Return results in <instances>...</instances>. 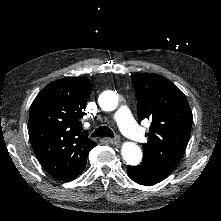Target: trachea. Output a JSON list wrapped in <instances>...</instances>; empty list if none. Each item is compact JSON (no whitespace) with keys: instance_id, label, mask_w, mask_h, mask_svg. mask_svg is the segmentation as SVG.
I'll return each instance as SVG.
<instances>
[{"instance_id":"1","label":"trachea","mask_w":221,"mask_h":221,"mask_svg":"<svg viewBox=\"0 0 221 221\" xmlns=\"http://www.w3.org/2000/svg\"><path fill=\"white\" fill-rule=\"evenodd\" d=\"M114 137L113 131L108 126L98 127L92 134L91 137Z\"/></svg>"}]
</instances>
